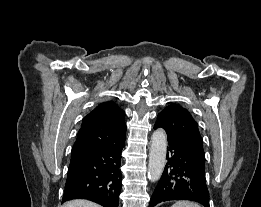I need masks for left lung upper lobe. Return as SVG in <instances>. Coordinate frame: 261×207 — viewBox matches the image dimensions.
<instances>
[{
	"label": "left lung upper lobe",
	"mask_w": 261,
	"mask_h": 207,
	"mask_svg": "<svg viewBox=\"0 0 261 207\" xmlns=\"http://www.w3.org/2000/svg\"><path fill=\"white\" fill-rule=\"evenodd\" d=\"M194 158L205 163L203 142L197 122L185 108L171 104L157 116L156 123Z\"/></svg>",
	"instance_id": "1"
}]
</instances>
